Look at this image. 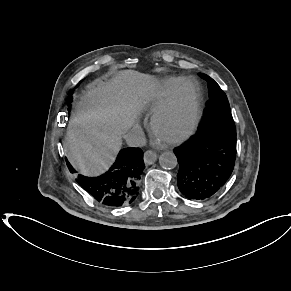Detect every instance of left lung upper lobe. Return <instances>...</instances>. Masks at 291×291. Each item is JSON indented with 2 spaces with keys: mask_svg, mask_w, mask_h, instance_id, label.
Listing matches in <instances>:
<instances>
[{
  "mask_svg": "<svg viewBox=\"0 0 291 291\" xmlns=\"http://www.w3.org/2000/svg\"><path fill=\"white\" fill-rule=\"evenodd\" d=\"M199 75L209 83L210 100L198 130L236 135V127L226 94L212 78L203 73Z\"/></svg>",
  "mask_w": 291,
  "mask_h": 291,
  "instance_id": "5c2ea615",
  "label": "left lung upper lobe"
}]
</instances>
